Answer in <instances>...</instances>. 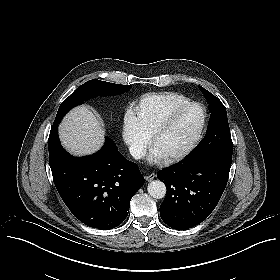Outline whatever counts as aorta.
I'll return each mask as SVG.
<instances>
[{
	"mask_svg": "<svg viewBox=\"0 0 280 280\" xmlns=\"http://www.w3.org/2000/svg\"><path fill=\"white\" fill-rule=\"evenodd\" d=\"M148 194L155 199H162L166 195V186L160 180L151 181L147 186Z\"/></svg>",
	"mask_w": 280,
	"mask_h": 280,
	"instance_id": "1",
	"label": "aorta"
}]
</instances>
